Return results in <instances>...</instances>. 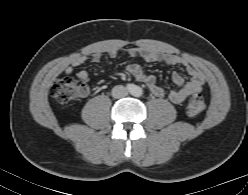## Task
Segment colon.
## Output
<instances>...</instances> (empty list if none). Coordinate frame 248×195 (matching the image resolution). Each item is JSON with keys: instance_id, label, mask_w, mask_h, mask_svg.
Listing matches in <instances>:
<instances>
[{"instance_id": "obj_1", "label": "colon", "mask_w": 248, "mask_h": 195, "mask_svg": "<svg viewBox=\"0 0 248 195\" xmlns=\"http://www.w3.org/2000/svg\"><path fill=\"white\" fill-rule=\"evenodd\" d=\"M85 86L71 76H65L54 81L51 86V96L62 105H69L80 96ZM205 107L204 98L200 94H194L189 99L186 111L190 116L199 115Z\"/></svg>"}]
</instances>
